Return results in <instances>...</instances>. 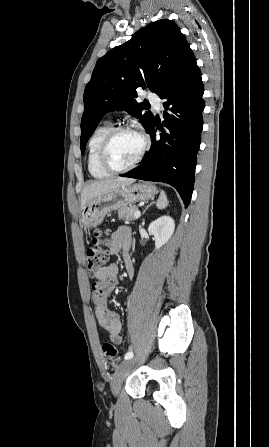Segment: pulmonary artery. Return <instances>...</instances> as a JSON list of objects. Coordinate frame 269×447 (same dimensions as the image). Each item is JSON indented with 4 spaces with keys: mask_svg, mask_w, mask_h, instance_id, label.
Listing matches in <instances>:
<instances>
[{
    "mask_svg": "<svg viewBox=\"0 0 269 447\" xmlns=\"http://www.w3.org/2000/svg\"><path fill=\"white\" fill-rule=\"evenodd\" d=\"M148 96L150 97V101L154 105L155 109L157 111H160L162 109V103H161V100L159 99V97L155 96V93L153 91H150L148 93Z\"/></svg>",
    "mask_w": 269,
    "mask_h": 447,
    "instance_id": "1",
    "label": "pulmonary artery"
}]
</instances>
